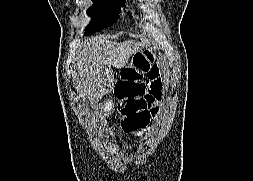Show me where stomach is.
Here are the masks:
<instances>
[{
	"instance_id": "obj_1",
	"label": "stomach",
	"mask_w": 253,
	"mask_h": 181,
	"mask_svg": "<svg viewBox=\"0 0 253 181\" xmlns=\"http://www.w3.org/2000/svg\"><path fill=\"white\" fill-rule=\"evenodd\" d=\"M104 109V112H108V111H110V108H109V105L108 104H106V106L103 108Z\"/></svg>"
}]
</instances>
